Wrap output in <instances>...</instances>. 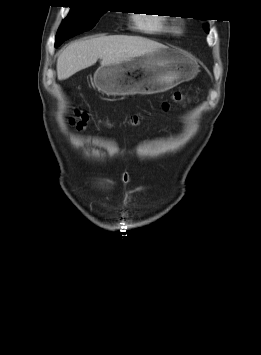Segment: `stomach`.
Masks as SVG:
<instances>
[{
	"label": "stomach",
	"instance_id": "0dacf381",
	"mask_svg": "<svg viewBox=\"0 0 261 355\" xmlns=\"http://www.w3.org/2000/svg\"><path fill=\"white\" fill-rule=\"evenodd\" d=\"M199 72L195 58L164 46L129 60L101 65L94 73L98 90L112 96L165 92Z\"/></svg>",
	"mask_w": 261,
	"mask_h": 355
}]
</instances>
